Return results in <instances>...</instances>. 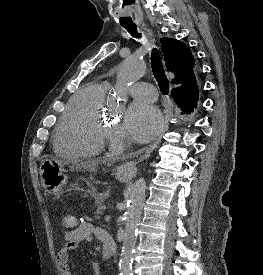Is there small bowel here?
Masks as SVG:
<instances>
[{
	"instance_id": "1",
	"label": "small bowel",
	"mask_w": 263,
	"mask_h": 275,
	"mask_svg": "<svg viewBox=\"0 0 263 275\" xmlns=\"http://www.w3.org/2000/svg\"><path fill=\"white\" fill-rule=\"evenodd\" d=\"M105 232L102 228L96 227L88 221H82L67 231L64 234V244L57 254V261L61 266L62 275H72L69 264L70 254L77 250L80 244L90 243L93 236L102 241Z\"/></svg>"
}]
</instances>
